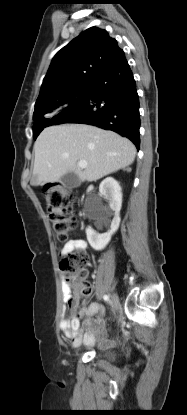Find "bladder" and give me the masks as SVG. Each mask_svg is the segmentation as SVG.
Segmentation results:
<instances>
[{
    "label": "bladder",
    "mask_w": 187,
    "mask_h": 415,
    "mask_svg": "<svg viewBox=\"0 0 187 415\" xmlns=\"http://www.w3.org/2000/svg\"><path fill=\"white\" fill-rule=\"evenodd\" d=\"M98 354L107 361H113L116 359L117 351L114 348H101Z\"/></svg>",
    "instance_id": "31cf9c89"
}]
</instances>
